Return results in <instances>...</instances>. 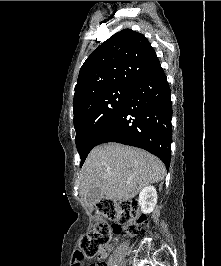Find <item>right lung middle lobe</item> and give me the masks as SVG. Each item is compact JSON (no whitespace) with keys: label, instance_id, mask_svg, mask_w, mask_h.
<instances>
[{"label":"right lung middle lobe","instance_id":"1","mask_svg":"<svg viewBox=\"0 0 221 266\" xmlns=\"http://www.w3.org/2000/svg\"><path fill=\"white\" fill-rule=\"evenodd\" d=\"M133 87L119 86L84 98L74 111L76 147L83 165L101 133L123 109Z\"/></svg>","mask_w":221,"mask_h":266}]
</instances>
